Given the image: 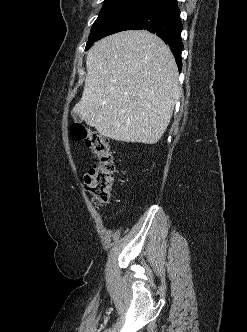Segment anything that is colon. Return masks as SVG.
<instances>
[{"instance_id": "1", "label": "colon", "mask_w": 247, "mask_h": 332, "mask_svg": "<svg viewBox=\"0 0 247 332\" xmlns=\"http://www.w3.org/2000/svg\"><path fill=\"white\" fill-rule=\"evenodd\" d=\"M71 136L84 140L95 157V164L84 177V187L95 204L104 205L111 197L115 176L110 143L98 131L80 123L72 126Z\"/></svg>"}]
</instances>
